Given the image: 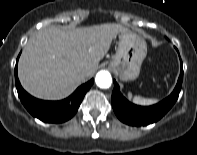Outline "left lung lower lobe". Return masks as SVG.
Returning <instances> with one entry per match:
<instances>
[{
  "instance_id": "obj_1",
  "label": "left lung lower lobe",
  "mask_w": 197,
  "mask_h": 155,
  "mask_svg": "<svg viewBox=\"0 0 197 155\" xmlns=\"http://www.w3.org/2000/svg\"><path fill=\"white\" fill-rule=\"evenodd\" d=\"M183 66L181 61V71L174 91L163 101L152 106H138L130 103L120 93V88L114 81L112 92V107L117 117L125 124L131 126H145L161 119L174 105L178 99L182 86Z\"/></svg>"
}]
</instances>
